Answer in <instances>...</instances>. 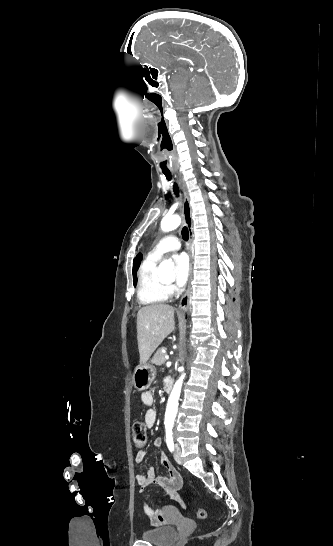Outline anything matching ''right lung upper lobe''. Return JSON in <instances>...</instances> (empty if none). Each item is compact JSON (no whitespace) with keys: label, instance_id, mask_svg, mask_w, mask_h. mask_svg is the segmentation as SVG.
I'll return each instance as SVG.
<instances>
[{"label":"right lung upper lobe","instance_id":"1","mask_svg":"<svg viewBox=\"0 0 333 546\" xmlns=\"http://www.w3.org/2000/svg\"><path fill=\"white\" fill-rule=\"evenodd\" d=\"M141 260H142V255H141V254H138V255L134 258V263H133V264H138V267H139Z\"/></svg>","mask_w":333,"mask_h":546}]
</instances>
